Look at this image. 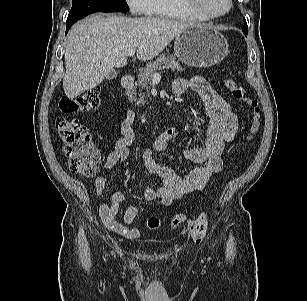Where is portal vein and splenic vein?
<instances>
[{"instance_id":"obj_1","label":"portal vein and splenic vein","mask_w":307,"mask_h":301,"mask_svg":"<svg viewBox=\"0 0 307 301\" xmlns=\"http://www.w3.org/2000/svg\"><path fill=\"white\" fill-rule=\"evenodd\" d=\"M136 53V50H130L127 52V56H133ZM152 79L154 80H160L161 79V74L158 72L153 73Z\"/></svg>"}]
</instances>
